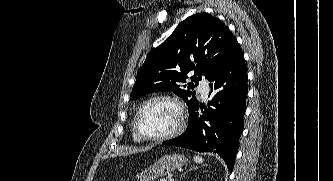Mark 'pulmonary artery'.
Here are the masks:
<instances>
[{
  "label": "pulmonary artery",
  "instance_id": "1",
  "mask_svg": "<svg viewBox=\"0 0 333 181\" xmlns=\"http://www.w3.org/2000/svg\"><path fill=\"white\" fill-rule=\"evenodd\" d=\"M199 91L201 92L203 98L207 97L209 91V84L206 80H202L199 83Z\"/></svg>",
  "mask_w": 333,
  "mask_h": 181
}]
</instances>
